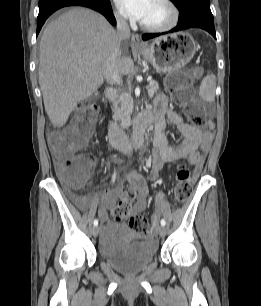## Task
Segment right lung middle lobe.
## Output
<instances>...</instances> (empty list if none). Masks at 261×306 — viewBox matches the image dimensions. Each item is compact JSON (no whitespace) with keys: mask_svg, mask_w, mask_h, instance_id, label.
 <instances>
[{"mask_svg":"<svg viewBox=\"0 0 261 306\" xmlns=\"http://www.w3.org/2000/svg\"><path fill=\"white\" fill-rule=\"evenodd\" d=\"M101 1H106V2H108L109 0H101Z\"/></svg>","mask_w":261,"mask_h":306,"instance_id":"right-lung-middle-lobe-1","label":"right lung middle lobe"}]
</instances>
